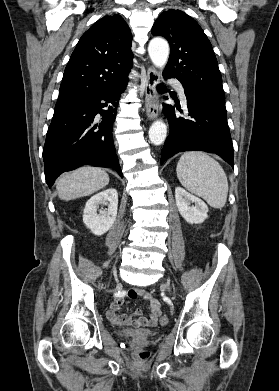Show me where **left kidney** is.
<instances>
[{
	"label": "left kidney",
	"mask_w": 279,
	"mask_h": 391,
	"mask_svg": "<svg viewBox=\"0 0 279 391\" xmlns=\"http://www.w3.org/2000/svg\"><path fill=\"white\" fill-rule=\"evenodd\" d=\"M175 200L181 216L188 223H202L208 217V206L206 203L183 188H175Z\"/></svg>",
	"instance_id": "1"
}]
</instances>
